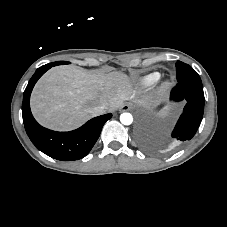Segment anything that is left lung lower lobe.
Here are the masks:
<instances>
[{
	"label": "left lung lower lobe",
	"instance_id": "obj_1",
	"mask_svg": "<svg viewBox=\"0 0 227 227\" xmlns=\"http://www.w3.org/2000/svg\"><path fill=\"white\" fill-rule=\"evenodd\" d=\"M173 101H186L172 137L177 144L190 140L196 133L203 116L204 94L202 84L188 81L178 82L171 91Z\"/></svg>",
	"mask_w": 227,
	"mask_h": 227
}]
</instances>
